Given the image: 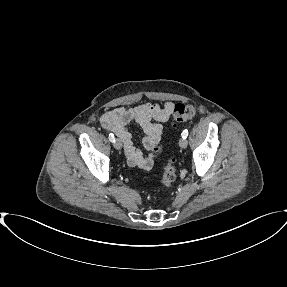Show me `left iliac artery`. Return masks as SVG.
<instances>
[{"label":"left iliac artery","instance_id":"1","mask_svg":"<svg viewBox=\"0 0 287 287\" xmlns=\"http://www.w3.org/2000/svg\"><path fill=\"white\" fill-rule=\"evenodd\" d=\"M182 138H184V139H186L187 138V136H188V130L187 129H185L183 132H182Z\"/></svg>","mask_w":287,"mask_h":287}]
</instances>
